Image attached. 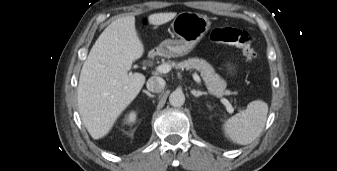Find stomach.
Returning <instances> with one entry per match:
<instances>
[{"label":"stomach","instance_id":"stomach-1","mask_svg":"<svg viewBox=\"0 0 337 171\" xmlns=\"http://www.w3.org/2000/svg\"><path fill=\"white\" fill-rule=\"evenodd\" d=\"M211 21L204 15L181 12L173 20L171 27L178 39L165 40L160 44V52L167 57L188 54L210 28Z\"/></svg>","mask_w":337,"mask_h":171}]
</instances>
